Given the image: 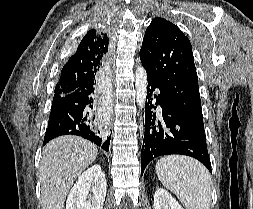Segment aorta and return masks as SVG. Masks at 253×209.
<instances>
[{
	"instance_id": "1",
	"label": "aorta",
	"mask_w": 253,
	"mask_h": 209,
	"mask_svg": "<svg viewBox=\"0 0 253 209\" xmlns=\"http://www.w3.org/2000/svg\"><path fill=\"white\" fill-rule=\"evenodd\" d=\"M136 101L140 109L144 108L147 95V74L142 66L135 71Z\"/></svg>"
}]
</instances>
